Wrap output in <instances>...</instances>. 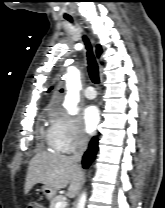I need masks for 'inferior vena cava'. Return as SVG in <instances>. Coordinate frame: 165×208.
Returning a JSON list of instances; mask_svg holds the SVG:
<instances>
[{"label": "inferior vena cava", "instance_id": "602c4592", "mask_svg": "<svg viewBox=\"0 0 165 208\" xmlns=\"http://www.w3.org/2000/svg\"><path fill=\"white\" fill-rule=\"evenodd\" d=\"M88 146V137L85 133H80L79 139H78V147L74 155L71 156V160L75 162L76 164L80 165L82 156L84 152L86 151Z\"/></svg>", "mask_w": 165, "mask_h": 208}]
</instances>
